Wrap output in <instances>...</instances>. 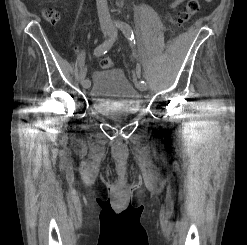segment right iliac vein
Wrapping results in <instances>:
<instances>
[{
    "label": "right iliac vein",
    "instance_id": "1",
    "mask_svg": "<svg viewBox=\"0 0 247 245\" xmlns=\"http://www.w3.org/2000/svg\"><path fill=\"white\" fill-rule=\"evenodd\" d=\"M101 30H102V34L104 36L109 35L110 32H111L110 28H108L106 26L102 27ZM81 85L83 86V88H86L87 89V88L90 87V81L87 79L85 82H81Z\"/></svg>",
    "mask_w": 247,
    "mask_h": 245
}]
</instances>
